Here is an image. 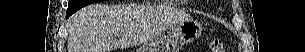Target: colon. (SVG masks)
Wrapping results in <instances>:
<instances>
[{
	"instance_id": "1",
	"label": "colon",
	"mask_w": 305,
	"mask_h": 52,
	"mask_svg": "<svg viewBox=\"0 0 305 52\" xmlns=\"http://www.w3.org/2000/svg\"><path fill=\"white\" fill-rule=\"evenodd\" d=\"M210 50L212 52H224V45L223 42L221 40L218 39H214L211 43H210Z\"/></svg>"
}]
</instances>
